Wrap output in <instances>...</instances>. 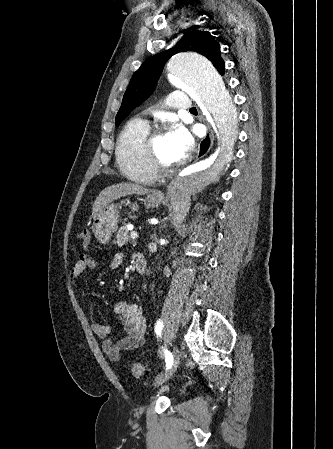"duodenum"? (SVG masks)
Returning <instances> with one entry per match:
<instances>
[{"label":"duodenum","mask_w":333,"mask_h":449,"mask_svg":"<svg viewBox=\"0 0 333 449\" xmlns=\"http://www.w3.org/2000/svg\"><path fill=\"white\" fill-rule=\"evenodd\" d=\"M132 262H133L134 269L137 273L144 274L146 272L147 262H146L145 257L142 254H140V253L135 254L133 256Z\"/></svg>","instance_id":"410a0bca"}]
</instances>
